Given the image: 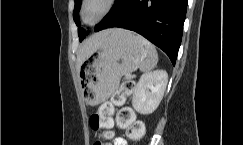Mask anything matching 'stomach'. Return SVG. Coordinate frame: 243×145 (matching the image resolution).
<instances>
[{
  "label": "stomach",
  "mask_w": 243,
  "mask_h": 145,
  "mask_svg": "<svg viewBox=\"0 0 243 145\" xmlns=\"http://www.w3.org/2000/svg\"><path fill=\"white\" fill-rule=\"evenodd\" d=\"M144 39L124 29H111L81 67L83 99L98 105L117 90L122 76L136 70L148 55Z\"/></svg>",
  "instance_id": "0dacf381"
}]
</instances>
